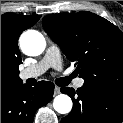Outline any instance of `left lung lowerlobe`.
Returning <instances> with one entry per match:
<instances>
[{"instance_id":"0a47b994","label":"left lung lower lobe","mask_w":123,"mask_h":123,"mask_svg":"<svg viewBox=\"0 0 123 123\" xmlns=\"http://www.w3.org/2000/svg\"><path fill=\"white\" fill-rule=\"evenodd\" d=\"M73 100V109L61 123H122L123 91L84 84L76 92L61 88Z\"/></svg>"}]
</instances>
